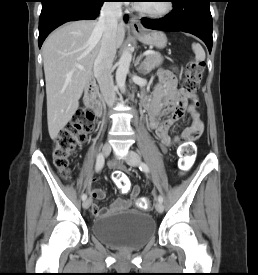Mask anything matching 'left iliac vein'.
<instances>
[{
  "label": "left iliac vein",
  "instance_id": "obj_1",
  "mask_svg": "<svg viewBox=\"0 0 258 275\" xmlns=\"http://www.w3.org/2000/svg\"><path fill=\"white\" fill-rule=\"evenodd\" d=\"M125 161L127 162V164L136 167L140 162V156L134 151H129L128 155L125 157ZM155 208L159 213H162L164 211V206L162 202H156Z\"/></svg>",
  "mask_w": 258,
  "mask_h": 275
}]
</instances>
